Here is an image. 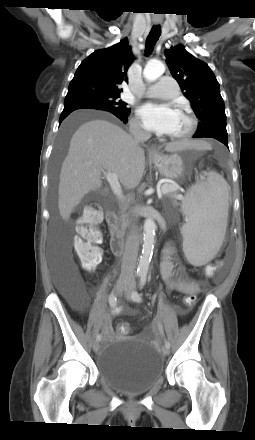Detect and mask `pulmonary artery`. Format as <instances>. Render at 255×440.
I'll list each match as a JSON object with an SVG mask.
<instances>
[{
	"mask_svg": "<svg viewBox=\"0 0 255 440\" xmlns=\"http://www.w3.org/2000/svg\"><path fill=\"white\" fill-rule=\"evenodd\" d=\"M148 97L171 99L179 94V87L176 80L171 76H163L151 86L145 93Z\"/></svg>",
	"mask_w": 255,
	"mask_h": 440,
	"instance_id": "pulmonary-artery-1",
	"label": "pulmonary artery"
}]
</instances>
